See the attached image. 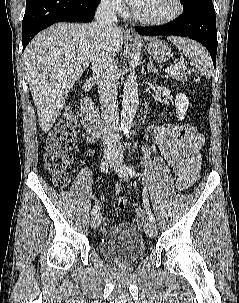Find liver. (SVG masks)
<instances>
[{"mask_svg": "<svg viewBox=\"0 0 239 303\" xmlns=\"http://www.w3.org/2000/svg\"><path fill=\"white\" fill-rule=\"evenodd\" d=\"M94 25L58 23L38 33L26 47L23 60L39 125L48 132L60 115L68 93L99 47ZM123 33L116 27L109 39L120 52Z\"/></svg>", "mask_w": 239, "mask_h": 303, "instance_id": "1", "label": "liver"}]
</instances>
